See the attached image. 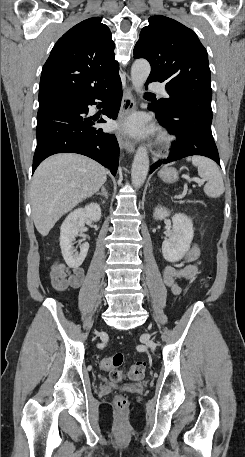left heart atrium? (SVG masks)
<instances>
[{
	"mask_svg": "<svg viewBox=\"0 0 245 457\" xmlns=\"http://www.w3.org/2000/svg\"><path fill=\"white\" fill-rule=\"evenodd\" d=\"M124 127L132 132H139L144 128V119L141 116H134L129 118Z\"/></svg>",
	"mask_w": 245,
	"mask_h": 457,
	"instance_id": "obj_1",
	"label": "left heart atrium"
}]
</instances>
